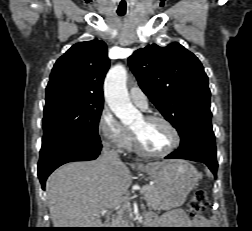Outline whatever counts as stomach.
Instances as JSON below:
<instances>
[{"label": "stomach", "instance_id": "1", "mask_svg": "<svg viewBox=\"0 0 252 231\" xmlns=\"http://www.w3.org/2000/svg\"><path fill=\"white\" fill-rule=\"evenodd\" d=\"M155 183L161 208L181 206L197 185L198 173L194 166L183 160H168L159 166H140Z\"/></svg>", "mask_w": 252, "mask_h": 231}]
</instances>
